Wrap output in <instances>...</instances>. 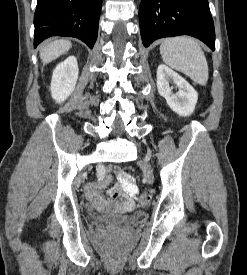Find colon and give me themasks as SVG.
Masks as SVG:
<instances>
[{
    "mask_svg": "<svg viewBox=\"0 0 247 275\" xmlns=\"http://www.w3.org/2000/svg\"><path fill=\"white\" fill-rule=\"evenodd\" d=\"M149 200H150V195H149L148 190H143L138 198L139 205L141 207H144L148 204Z\"/></svg>",
    "mask_w": 247,
    "mask_h": 275,
    "instance_id": "obj_1",
    "label": "colon"
}]
</instances>
